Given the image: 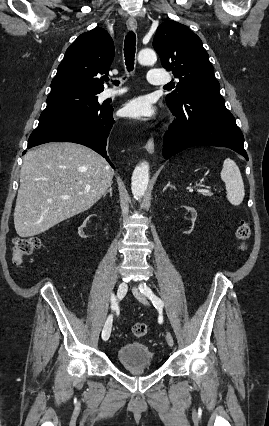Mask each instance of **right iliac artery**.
I'll return each instance as SVG.
<instances>
[{"mask_svg": "<svg viewBox=\"0 0 269 426\" xmlns=\"http://www.w3.org/2000/svg\"><path fill=\"white\" fill-rule=\"evenodd\" d=\"M111 303H112L111 308L113 310H117L118 309V304L116 302V298H115L114 294H112V296H111Z\"/></svg>", "mask_w": 269, "mask_h": 426, "instance_id": "82829eb1", "label": "right iliac artery"}]
</instances>
